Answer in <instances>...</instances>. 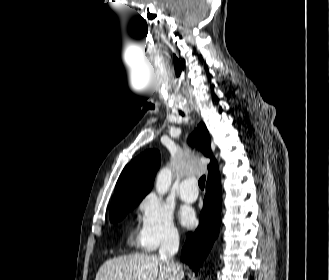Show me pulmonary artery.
<instances>
[{"label":"pulmonary artery","mask_w":329,"mask_h":280,"mask_svg":"<svg viewBox=\"0 0 329 280\" xmlns=\"http://www.w3.org/2000/svg\"><path fill=\"white\" fill-rule=\"evenodd\" d=\"M179 196L186 202H194L198 197L196 180L194 178L184 179L179 187Z\"/></svg>","instance_id":"e3ab8cb5"}]
</instances>
